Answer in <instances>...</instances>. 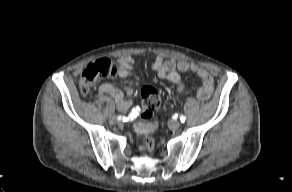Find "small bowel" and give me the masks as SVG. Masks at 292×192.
<instances>
[{
  "label": "small bowel",
  "mask_w": 292,
  "mask_h": 192,
  "mask_svg": "<svg viewBox=\"0 0 292 192\" xmlns=\"http://www.w3.org/2000/svg\"><path fill=\"white\" fill-rule=\"evenodd\" d=\"M135 61L132 57H121L117 61V68L121 76H130L135 73L134 71ZM152 68L157 72L160 79H166L174 83L177 87L176 97L174 99L175 104H180L182 96L186 91V86L182 82L180 73L192 72L199 76L202 81V87L198 90L197 95L199 99L206 100L213 90V77L204 68L185 61L165 60L161 56H156ZM100 92L111 96L120 110H127L132 105L131 96L133 90L131 87H125L124 89H118L110 83H102L99 87Z\"/></svg>",
  "instance_id": "c3829d8e"
}]
</instances>
